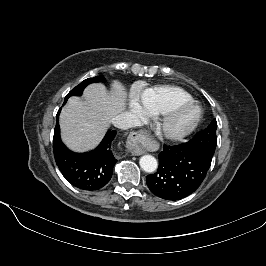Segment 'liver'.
I'll use <instances>...</instances> for the list:
<instances>
[{
	"instance_id": "liver-1",
	"label": "liver",
	"mask_w": 266,
	"mask_h": 266,
	"mask_svg": "<svg viewBox=\"0 0 266 266\" xmlns=\"http://www.w3.org/2000/svg\"><path fill=\"white\" fill-rule=\"evenodd\" d=\"M127 92L117 80L108 92L101 83L90 84L84 99L72 97L60 114L64 143L77 152L94 148L103 138L110 121L126 107Z\"/></svg>"
}]
</instances>
